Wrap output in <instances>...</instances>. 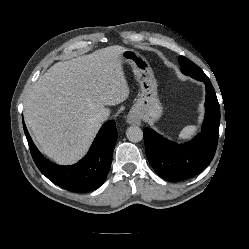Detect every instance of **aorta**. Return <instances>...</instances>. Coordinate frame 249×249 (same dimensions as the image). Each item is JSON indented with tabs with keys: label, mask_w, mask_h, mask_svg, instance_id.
I'll list each match as a JSON object with an SVG mask.
<instances>
[{
	"label": "aorta",
	"mask_w": 249,
	"mask_h": 249,
	"mask_svg": "<svg viewBox=\"0 0 249 249\" xmlns=\"http://www.w3.org/2000/svg\"><path fill=\"white\" fill-rule=\"evenodd\" d=\"M127 139L131 142H140L143 139V132L138 126H130L126 130Z\"/></svg>",
	"instance_id": "762f6f07"
}]
</instances>
